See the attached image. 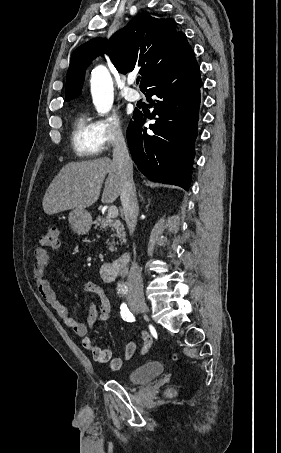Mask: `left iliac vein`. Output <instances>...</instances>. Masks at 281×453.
<instances>
[{
	"label": "left iliac vein",
	"mask_w": 281,
	"mask_h": 453,
	"mask_svg": "<svg viewBox=\"0 0 281 453\" xmlns=\"http://www.w3.org/2000/svg\"><path fill=\"white\" fill-rule=\"evenodd\" d=\"M134 312L138 313L139 312V308H134Z\"/></svg>",
	"instance_id": "left-iliac-vein-1"
}]
</instances>
